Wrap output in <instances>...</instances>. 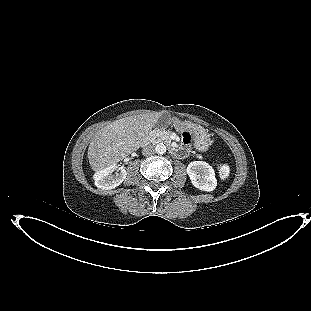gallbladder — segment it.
<instances>
[{
	"instance_id": "gallbladder-1",
	"label": "gallbladder",
	"mask_w": 311,
	"mask_h": 311,
	"mask_svg": "<svg viewBox=\"0 0 311 311\" xmlns=\"http://www.w3.org/2000/svg\"><path fill=\"white\" fill-rule=\"evenodd\" d=\"M171 122V117L169 113H163L158 119L156 125L157 127H165Z\"/></svg>"
}]
</instances>
